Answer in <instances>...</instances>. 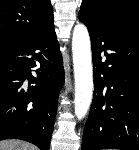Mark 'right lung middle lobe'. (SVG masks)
I'll return each mask as SVG.
<instances>
[{
	"instance_id": "obj_1",
	"label": "right lung middle lobe",
	"mask_w": 139,
	"mask_h": 150,
	"mask_svg": "<svg viewBox=\"0 0 139 150\" xmlns=\"http://www.w3.org/2000/svg\"><path fill=\"white\" fill-rule=\"evenodd\" d=\"M11 46H7V45H0V51H4L8 48H10Z\"/></svg>"
}]
</instances>
